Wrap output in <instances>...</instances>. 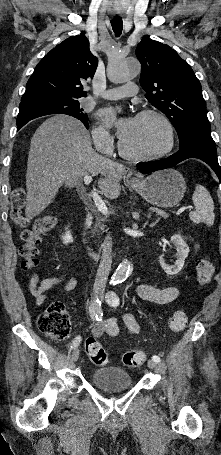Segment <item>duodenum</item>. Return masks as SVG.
Segmentation results:
<instances>
[{
    "instance_id": "obj_1",
    "label": "duodenum",
    "mask_w": 221,
    "mask_h": 455,
    "mask_svg": "<svg viewBox=\"0 0 221 455\" xmlns=\"http://www.w3.org/2000/svg\"><path fill=\"white\" fill-rule=\"evenodd\" d=\"M92 222H93V214L90 211H87L84 224L80 230L79 239H80L82 246L84 247V249L87 251L88 254H90L92 256H97L98 253L96 252V250H94L92 244L89 242L88 237H87V231H88L90 225L92 224Z\"/></svg>"
}]
</instances>
